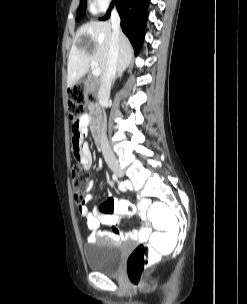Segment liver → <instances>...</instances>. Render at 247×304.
Listing matches in <instances>:
<instances>
[{
    "instance_id": "1",
    "label": "liver",
    "mask_w": 247,
    "mask_h": 304,
    "mask_svg": "<svg viewBox=\"0 0 247 304\" xmlns=\"http://www.w3.org/2000/svg\"><path fill=\"white\" fill-rule=\"evenodd\" d=\"M111 35L112 26L107 21L90 22L77 31L68 58V87L88 72L92 61L98 63L102 77L106 70ZM118 46L117 72L123 73L132 60L133 49L122 32L119 34Z\"/></svg>"
}]
</instances>
